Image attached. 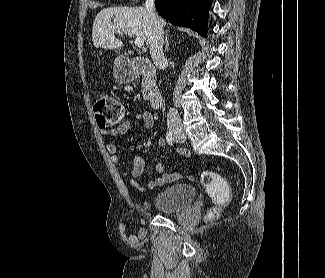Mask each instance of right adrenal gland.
<instances>
[{"mask_svg": "<svg viewBox=\"0 0 325 278\" xmlns=\"http://www.w3.org/2000/svg\"><path fill=\"white\" fill-rule=\"evenodd\" d=\"M168 31L169 30H166V33H165V49H164L165 52L168 51V47H169Z\"/></svg>", "mask_w": 325, "mask_h": 278, "instance_id": "obj_1", "label": "right adrenal gland"}]
</instances>
